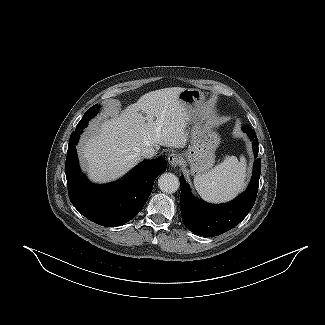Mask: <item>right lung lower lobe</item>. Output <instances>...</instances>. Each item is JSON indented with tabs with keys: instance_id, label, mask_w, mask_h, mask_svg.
<instances>
[{
	"instance_id": "1",
	"label": "right lung lower lobe",
	"mask_w": 325,
	"mask_h": 325,
	"mask_svg": "<svg viewBox=\"0 0 325 325\" xmlns=\"http://www.w3.org/2000/svg\"><path fill=\"white\" fill-rule=\"evenodd\" d=\"M87 123L72 132L66 158V179L70 201L86 218L102 226L114 227L130 221L144 207L157 176L166 169L160 157L145 160L121 180L110 185L91 184L80 172L76 143Z\"/></svg>"
}]
</instances>
